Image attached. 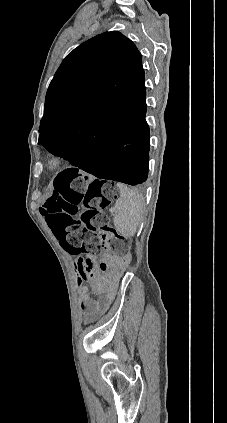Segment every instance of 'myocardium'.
Here are the masks:
<instances>
[{
  "label": "myocardium",
  "instance_id": "1",
  "mask_svg": "<svg viewBox=\"0 0 227 423\" xmlns=\"http://www.w3.org/2000/svg\"><path fill=\"white\" fill-rule=\"evenodd\" d=\"M66 162L67 157L64 154H50L45 161V170L49 174H55L63 169Z\"/></svg>",
  "mask_w": 227,
  "mask_h": 423
}]
</instances>
